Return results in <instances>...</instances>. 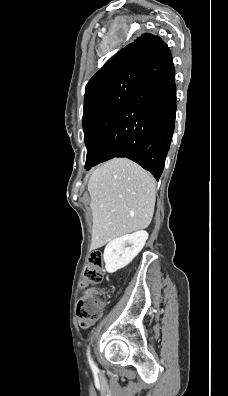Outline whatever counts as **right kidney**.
Wrapping results in <instances>:
<instances>
[{"label": "right kidney", "mask_w": 228, "mask_h": 396, "mask_svg": "<svg viewBox=\"0 0 228 396\" xmlns=\"http://www.w3.org/2000/svg\"><path fill=\"white\" fill-rule=\"evenodd\" d=\"M148 239L146 231H137L110 241L104 249L107 272L114 273L127 266L142 250Z\"/></svg>", "instance_id": "ca27d5eb"}]
</instances>
